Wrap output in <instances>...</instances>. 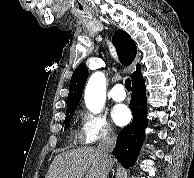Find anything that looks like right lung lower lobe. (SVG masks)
<instances>
[{"label":"right lung lower lobe","mask_w":194,"mask_h":178,"mask_svg":"<svg viewBox=\"0 0 194 178\" xmlns=\"http://www.w3.org/2000/svg\"><path fill=\"white\" fill-rule=\"evenodd\" d=\"M133 121L124 127L118 135L114 156L124 166H133L145 138V129L148 124L146 90L143 78L132 82V96L129 105Z\"/></svg>","instance_id":"98d812e1"}]
</instances>
